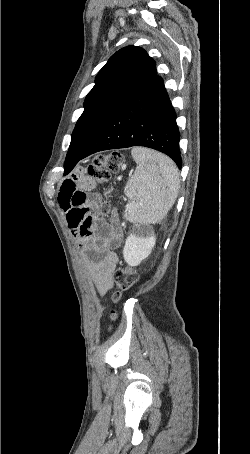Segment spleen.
<instances>
[{
	"label": "spleen",
	"instance_id": "3e777b00",
	"mask_svg": "<svg viewBox=\"0 0 250 454\" xmlns=\"http://www.w3.org/2000/svg\"><path fill=\"white\" fill-rule=\"evenodd\" d=\"M137 163L124 193L129 198L123 218L134 224L160 222L173 206L179 189V172L167 156L143 147H134Z\"/></svg>",
	"mask_w": 250,
	"mask_h": 454
}]
</instances>
